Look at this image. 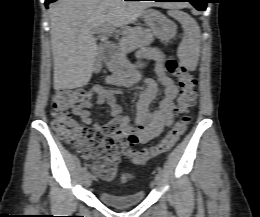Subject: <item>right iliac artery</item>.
I'll list each match as a JSON object with an SVG mask.
<instances>
[{"label":"right iliac artery","instance_id":"82829eb1","mask_svg":"<svg viewBox=\"0 0 260 217\" xmlns=\"http://www.w3.org/2000/svg\"><path fill=\"white\" fill-rule=\"evenodd\" d=\"M83 172H84V173L87 172V168H86V167L83 168Z\"/></svg>","mask_w":260,"mask_h":217}]
</instances>
